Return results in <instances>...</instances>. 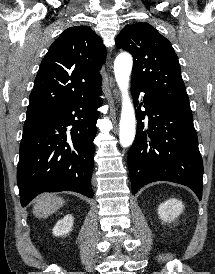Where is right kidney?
Returning <instances> with one entry per match:
<instances>
[{
	"label": "right kidney",
	"instance_id": "ca27d5eb",
	"mask_svg": "<svg viewBox=\"0 0 215 274\" xmlns=\"http://www.w3.org/2000/svg\"><path fill=\"white\" fill-rule=\"evenodd\" d=\"M73 216L66 215L63 219L59 220L53 228V234L55 236H63L68 234L72 230Z\"/></svg>",
	"mask_w": 215,
	"mask_h": 274
}]
</instances>
